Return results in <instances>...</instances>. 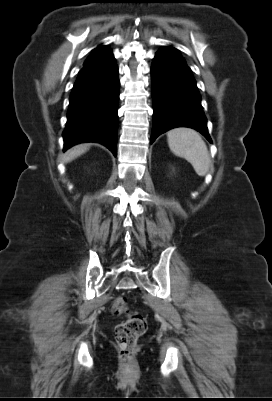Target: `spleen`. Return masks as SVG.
Here are the masks:
<instances>
[{"label": "spleen", "instance_id": "spleen-1", "mask_svg": "<svg viewBox=\"0 0 272 401\" xmlns=\"http://www.w3.org/2000/svg\"><path fill=\"white\" fill-rule=\"evenodd\" d=\"M170 150L179 157L185 158L199 176L209 171L210 156L205 142L199 133L188 128L173 129L167 133Z\"/></svg>", "mask_w": 272, "mask_h": 401}]
</instances>
